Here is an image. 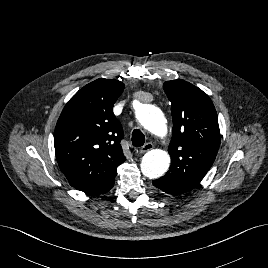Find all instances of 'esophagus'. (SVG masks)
<instances>
[{
    "label": "esophagus",
    "instance_id": "obj_1",
    "mask_svg": "<svg viewBox=\"0 0 268 268\" xmlns=\"http://www.w3.org/2000/svg\"><path fill=\"white\" fill-rule=\"evenodd\" d=\"M154 148V145L152 143H146L143 145L140 149V153H146L147 151H150Z\"/></svg>",
    "mask_w": 268,
    "mask_h": 268
}]
</instances>
